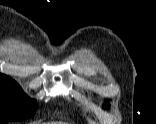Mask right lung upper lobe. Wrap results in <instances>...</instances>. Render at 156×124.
Listing matches in <instances>:
<instances>
[{
	"label": "right lung upper lobe",
	"mask_w": 156,
	"mask_h": 124,
	"mask_svg": "<svg viewBox=\"0 0 156 124\" xmlns=\"http://www.w3.org/2000/svg\"><path fill=\"white\" fill-rule=\"evenodd\" d=\"M0 78H10V77H8L7 75H4V74L0 73Z\"/></svg>",
	"instance_id": "right-lung-upper-lobe-1"
}]
</instances>
